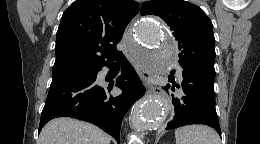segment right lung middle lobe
Wrapping results in <instances>:
<instances>
[{"instance_id": "obj_1", "label": "right lung middle lobe", "mask_w": 260, "mask_h": 144, "mask_svg": "<svg viewBox=\"0 0 260 144\" xmlns=\"http://www.w3.org/2000/svg\"><path fill=\"white\" fill-rule=\"evenodd\" d=\"M90 67H77V68H70L64 70L53 71L52 73V83L61 81L67 78L75 77V76H84Z\"/></svg>"}]
</instances>
